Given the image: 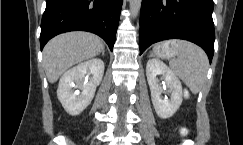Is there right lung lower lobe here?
Listing matches in <instances>:
<instances>
[{"instance_id": "98d812e1", "label": "right lung lower lobe", "mask_w": 243, "mask_h": 145, "mask_svg": "<svg viewBox=\"0 0 243 145\" xmlns=\"http://www.w3.org/2000/svg\"><path fill=\"white\" fill-rule=\"evenodd\" d=\"M123 0H46L41 22V50L54 36L89 31L102 37L112 51Z\"/></svg>"}]
</instances>
